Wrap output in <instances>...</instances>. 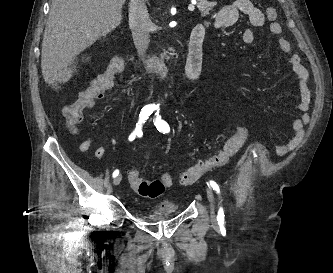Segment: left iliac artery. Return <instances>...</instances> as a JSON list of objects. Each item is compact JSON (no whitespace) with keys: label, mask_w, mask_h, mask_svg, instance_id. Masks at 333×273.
I'll return each instance as SVG.
<instances>
[{"label":"left iliac artery","mask_w":333,"mask_h":273,"mask_svg":"<svg viewBox=\"0 0 333 273\" xmlns=\"http://www.w3.org/2000/svg\"><path fill=\"white\" fill-rule=\"evenodd\" d=\"M155 118H154V125L156 126L157 130L159 132H162V133H168L170 131V127L168 125V123L164 120L161 119V116L159 114V111H157L155 113ZM210 186L213 188V190L216 191V193L219 195L220 194V188L218 186V184L215 182V181H210ZM224 210L223 208L220 206L219 208V211H218V216H217V221H218V224H224Z\"/></svg>","instance_id":"44dca946"}]
</instances>
